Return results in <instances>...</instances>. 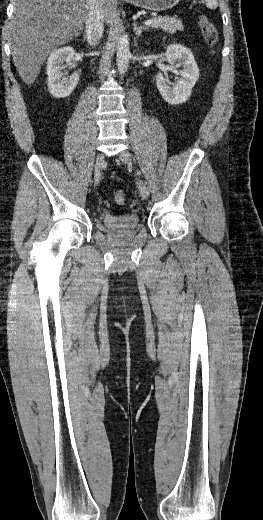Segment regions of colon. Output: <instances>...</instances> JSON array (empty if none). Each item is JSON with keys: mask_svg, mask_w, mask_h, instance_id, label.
I'll list each match as a JSON object with an SVG mask.
<instances>
[{"mask_svg": "<svg viewBox=\"0 0 263 520\" xmlns=\"http://www.w3.org/2000/svg\"><path fill=\"white\" fill-rule=\"evenodd\" d=\"M197 24L203 36V39L208 47L213 49L219 42V34L216 26L205 15L197 17ZM115 202L118 205H123L126 202V194L124 191H118L115 195Z\"/></svg>", "mask_w": 263, "mask_h": 520, "instance_id": "obj_1", "label": "colon"}]
</instances>
